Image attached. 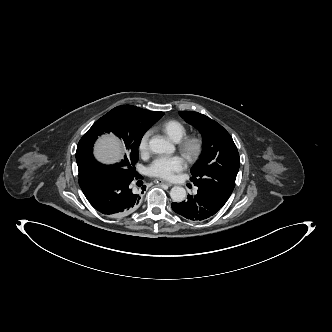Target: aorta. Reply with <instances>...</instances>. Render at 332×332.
Masks as SVG:
<instances>
[{"label":"aorta","instance_id":"aorta-1","mask_svg":"<svg viewBox=\"0 0 332 332\" xmlns=\"http://www.w3.org/2000/svg\"><path fill=\"white\" fill-rule=\"evenodd\" d=\"M149 148L157 154L171 152L173 146L160 136L152 137L149 141ZM170 196L174 202H183L186 198V190L181 186H174L170 191Z\"/></svg>","mask_w":332,"mask_h":332}]
</instances>
